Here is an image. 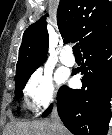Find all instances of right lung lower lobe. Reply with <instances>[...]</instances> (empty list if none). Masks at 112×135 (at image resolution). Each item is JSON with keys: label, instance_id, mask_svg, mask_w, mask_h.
Here are the masks:
<instances>
[{"label": "right lung lower lobe", "instance_id": "obj_1", "mask_svg": "<svg viewBox=\"0 0 112 135\" xmlns=\"http://www.w3.org/2000/svg\"><path fill=\"white\" fill-rule=\"evenodd\" d=\"M85 63L81 89L62 86L57 109L64 125L75 135H105L111 118L112 36L82 49ZM51 106L43 117L51 112Z\"/></svg>", "mask_w": 112, "mask_h": 135}]
</instances>
